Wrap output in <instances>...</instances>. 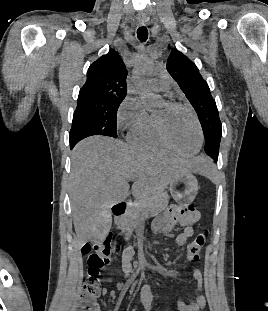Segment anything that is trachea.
I'll return each mask as SVG.
<instances>
[{
	"instance_id": "obj_1",
	"label": "trachea",
	"mask_w": 268,
	"mask_h": 311,
	"mask_svg": "<svg viewBox=\"0 0 268 311\" xmlns=\"http://www.w3.org/2000/svg\"><path fill=\"white\" fill-rule=\"evenodd\" d=\"M137 37L141 42H146L148 39V30L146 27H139L137 30Z\"/></svg>"
}]
</instances>
